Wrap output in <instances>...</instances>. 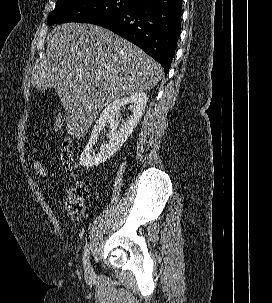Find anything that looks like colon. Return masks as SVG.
Instances as JSON below:
<instances>
[{
	"label": "colon",
	"mask_w": 272,
	"mask_h": 303,
	"mask_svg": "<svg viewBox=\"0 0 272 303\" xmlns=\"http://www.w3.org/2000/svg\"><path fill=\"white\" fill-rule=\"evenodd\" d=\"M54 130L62 131L63 119L57 117L54 121ZM60 159L66 173L71 178V184L66 188L64 196V209L67 216L72 220H80L86 206L87 191L79 182L80 168L74 160V154L69 140H63L60 149ZM33 173L38 178H46L49 174L47 163L41 158H34L32 161Z\"/></svg>",
	"instance_id": "5ec220e1"
}]
</instances>
